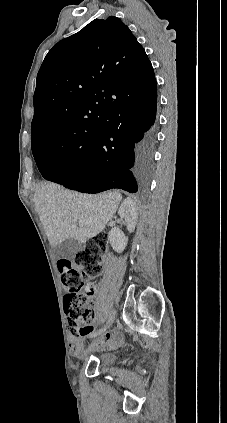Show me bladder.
Segmentation results:
<instances>
[{
	"label": "bladder",
	"instance_id": "bladder-1",
	"mask_svg": "<svg viewBox=\"0 0 227 423\" xmlns=\"http://www.w3.org/2000/svg\"><path fill=\"white\" fill-rule=\"evenodd\" d=\"M116 362L115 352L101 353L96 360L98 366H112Z\"/></svg>",
	"mask_w": 227,
	"mask_h": 423
}]
</instances>
